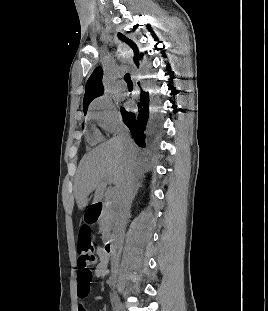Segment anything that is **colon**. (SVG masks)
I'll use <instances>...</instances> for the list:
<instances>
[{"label":"colon","mask_w":268,"mask_h":311,"mask_svg":"<svg viewBox=\"0 0 268 311\" xmlns=\"http://www.w3.org/2000/svg\"><path fill=\"white\" fill-rule=\"evenodd\" d=\"M94 260L95 255L91 239V230L88 226H83L79 231L77 240L78 292L82 297H86L90 290L93 273L89 266Z\"/></svg>","instance_id":"obj_1"}]
</instances>
